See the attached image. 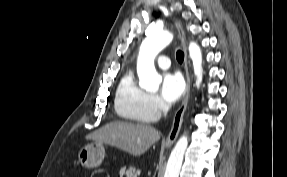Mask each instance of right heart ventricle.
Masks as SVG:
<instances>
[{"mask_svg": "<svg viewBox=\"0 0 287 177\" xmlns=\"http://www.w3.org/2000/svg\"><path fill=\"white\" fill-rule=\"evenodd\" d=\"M117 115L126 121L150 123L156 120L150 108V96L135 81L131 71L120 80L114 98Z\"/></svg>", "mask_w": 287, "mask_h": 177, "instance_id": "obj_1", "label": "right heart ventricle"}]
</instances>
